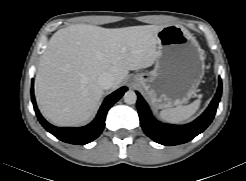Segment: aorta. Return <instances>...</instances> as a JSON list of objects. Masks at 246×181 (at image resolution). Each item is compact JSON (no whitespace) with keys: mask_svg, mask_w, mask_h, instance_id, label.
Instances as JSON below:
<instances>
[{"mask_svg":"<svg viewBox=\"0 0 246 181\" xmlns=\"http://www.w3.org/2000/svg\"><path fill=\"white\" fill-rule=\"evenodd\" d=\"M123 98L124 102L128 105L135 104L137 101V95L133 90L126 91Z\"/></svg>","mask_w":246,"mask_h":181,"instance_id":"obj_1","label":"aorta"}]
</instances>
